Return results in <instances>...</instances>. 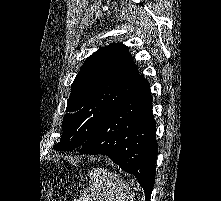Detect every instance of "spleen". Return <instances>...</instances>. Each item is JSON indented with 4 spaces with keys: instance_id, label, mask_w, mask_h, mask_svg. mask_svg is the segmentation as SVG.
<instances>
[{
    "instance_id": "1",
    "label": "spleen",
    "mask_w": 221,
    "mask_h": 201,
    "mask_svg": "<svg viewBox=\"0 0 221 201\" xmlns=\"http://www.w3.org/2000/svg\"><path fill=\"white\" fill-rule=\"evenodd\" d=\"M135 194L120 177L103 168L90 172L89 186L76 201H134Z\"/></svg>"
}]
</instances>
